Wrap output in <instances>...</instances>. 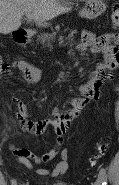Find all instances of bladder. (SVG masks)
<instances>
[{
  "label": "bladder",
  "mask_w": 119,
  "mask_h": 185,
  "mask_svg": "<svg viewBox=\"0 0 119 185\" xmlns=\"http://www.w3.org/2000/svg\"><path fill=\"white\" fill-rule=\"evenodd\" d=\"M54 185H68L67 183H63V182H60V183H56Z\"/></svg>",
  "instance_id": "obj_1"
}]
</instances>
